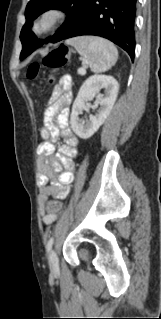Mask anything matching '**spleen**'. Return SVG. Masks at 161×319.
<instances>
[{
    "label": "spleen",
    "instance_id": "3e777b00",
    "mask_svg": "<svg viewBox=\"0 0 161 319\" xmlns=\"http://www.w3.org/2000/svg\"><path fill=\"white\" fill-rule=\"evenodd\" d=\"M70 44L95 73L107 71L118 59L116 47L110 41L100 37H76L70 40Z\"/></svg>",
    "mask_w": 161,
    "mask_h": 319
}]
</instances>
